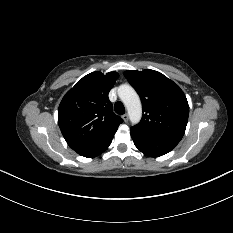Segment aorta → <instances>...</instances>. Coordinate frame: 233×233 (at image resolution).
I'll list each match as a JSON object with an SVG mask.
<instances>
[{
    "mask_svg": "<svg viewBox=\"0 0 233 233\" xmlns=\"http://www.w3.org/2000/svg\"><path fill=\"white\" fill-rule=\"evenodd\" d=\"M118 95L127 108L130 121L133 124L139 123L142 116V104L135 89L130 85L123 84L118 88Z\"/></svg>",
    "mask_w": 233,
    "mask_h": 233,
    "instance_id": "obj_1",
    "label": "aorta"
}]
</instances>
